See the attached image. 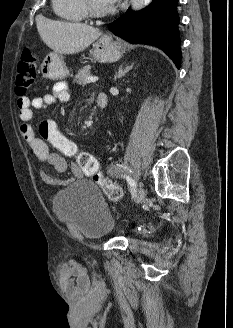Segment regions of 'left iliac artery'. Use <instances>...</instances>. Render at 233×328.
Returning <instances> with one entry per match:
<instances>
[{
	"label": "left iliac artery",
	"mask_w": 233,
	"mask_h": 328,
	"mask_svg": "<svg viewBox=\"0 0 233 328\" xmlns=\"http://www.w3.org/2000/svg\"><path fill=\"white\" fill-rule=\"evenodd\" d=\"M127 181H128V183H129V185H130V192H131V194L132 195H135V193H136V183H135V181L134 180H132L129 176H123Z\"/></svg>",
	"instance_id": "left-iliac-artery-1"
}]
</instances>
